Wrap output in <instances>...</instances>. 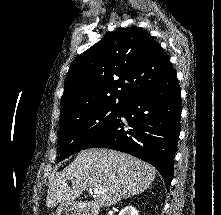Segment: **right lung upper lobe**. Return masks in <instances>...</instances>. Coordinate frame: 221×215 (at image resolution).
I'll list each match as a JSON object with an SVG mask.
<instances>
[{"label": "right lung upper lobe", "mask_w": 221, "mask_h": 215, "mask_svg": "<svg viewBox=\"0 0 221 215\" xmlns=\"http://www.w3.org/2000/svg\"><path fill=\"white\" fill-rule=\"evenodd\" d=\"M169 57L145 30L121 28L77 56L61 97V118L98 107L120 108L163 81Z\"/></svg>", "instance_id": "cb5924a9"}]
</instances>
